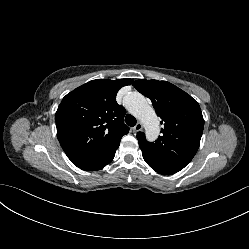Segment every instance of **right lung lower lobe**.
Returning a JSON list of instances; mask_svg holds the SVG:
<instances>
[{
  "mask_svg": "<svg viewBox=\"0 0 249 249\" xmlns=\"http://www.w3.org/2000/svg\"><path fill=\"white\" fill-rule=\"evenodd\" d=\"M119 144L120 143L110 148L104 149L100 152L70 155L68 156V158L71 160V162L74 165L83 170L87 171L99 170L113 160L115 152L119 147Z\"/></svg>",
  "mask_w": 249,
  "mask_h": 249,
  "instance_id": "right-lung-lower-lobe-1",
  "label": "right lung lower lobe"
}]
</instances>
